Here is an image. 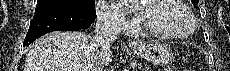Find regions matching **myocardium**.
Listing matches in <instances>:
<instances>
[{"mask_svg":"<svg viewBox=\"0 0 230 71\" xmlns=\"http://www.w3.org/2000/svg\"><path fill=\"white\" fill-rule=\"evenodd\" d=\"M151 1H155V0H146L145 2H151ZM173 1L175 2L176 5H178L179 7H181L182 9L186 11V13L188 14L191 20V28L187 32L182 33V34H176V33H171V32L160 30L154 27L153 25H151L148 22L146 15H145V4L144 3L138 5V9L140 11L139 12L140 31L148 33L149 35L155 38L163 39V40H182V39H187L192 34H194V32L197 29V20H196V17L193 11L190 9V7L185 2L181 0H173Z\"/></svg>","mask_w":230,"mask_h":71,"instance_id":"1","label":"myocardium"}]
</instances>
